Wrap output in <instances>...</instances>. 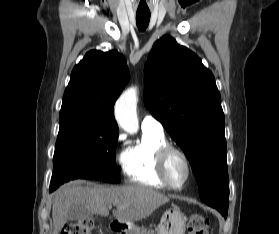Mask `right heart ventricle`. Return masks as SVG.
<instances>
[{"label": "right heart ventricle", "instance_id": "right-heart-ventricle-1", "mask_svg": "<svg viewBox=\"0 0 279 234\" xmlns=\"http://www.w3.org/2000/svg\"><path fill=\"white\" fill-rule=\"evenodd\" d=\"M167 144L163 133L143 131L139 142L129 146L121 156V165L126 177L139 185L164 188L157 166L159 149Z\"/></svg>", "mask_w": 279, "mask_h": 234}]
</instances>
